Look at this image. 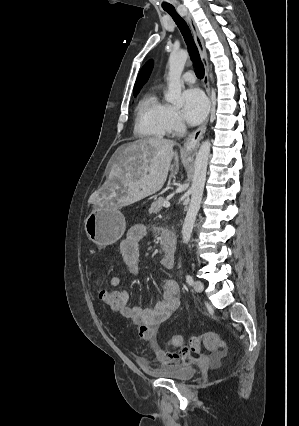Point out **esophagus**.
Segmentation results:
<instances>
[{"mask_svg":"<svg viewBox=\"0 0 299 426\" xmlns=\"http://www.w3.org/2000/svg\"><path fill=\"white\" fill-rule=\"evenodd\" d=\"M184 15L192 30L195 43L197 45L202 63L204 65L205 74L203 78V85L208 95V98L210 100V110H211L212 102H211L210 81H209V64L207 60V53L204 46V41L191 14L186 12L184 13ZM207 123H208V118L203 122V124H201L194 132H192L188 136V138L186 139L184 143L183 153L191 154L198 149L202 136L206 131Z\"/></svg>","mask_w":299,"mask_h":426,"instance_id":"obj_1","label":"esophagus"}]
</instances>
